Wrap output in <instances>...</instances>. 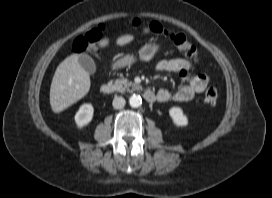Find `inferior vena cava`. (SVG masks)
Instances as JSON below:
<instances>
[{
	"mask_svg": "<svg viewBox=\"0 0 272 198\" xmlns=\"http://www.w3.org/2000/svg\"><path fill=\"white\" fill-rule=\"evenodd\" d=\"M125 99L123 97H115L113 99L112 105L115 109H122L125 106Z\"/></svg>",
	"mask_w": 272,
	"mask_h": 198,
	"instance_id": "inferior-vena-cava-1",
	"label": "inferior vena cava"
}]
</instances>
